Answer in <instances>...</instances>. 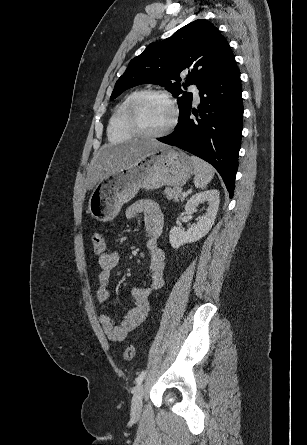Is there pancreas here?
Returning a JSON list of instances; mask_svg holds the SVG:
<instances>
[{
	"mask_svg": "<svg viewBox=\"0 0 307 445\" xmlns=\"http://www.w3.org/2000/svg\"><path fill=\"white\" fill-rule=\"evenodd\" d=\"M181 186H165L164 194L168 200H184L185 196H181Z\"/></svg>",
	"mask_w": 307,
	"mask_h": 445,
	"instance_id": "cf45deb5",
	"label": "pancreas"
}]
</instances>
